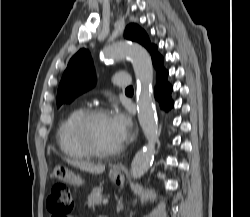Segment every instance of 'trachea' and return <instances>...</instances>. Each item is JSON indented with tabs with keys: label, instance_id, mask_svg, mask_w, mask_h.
I'll use <instances>...</instances> for the list:
<instances>
[{
	"label": "trachea",
	"instance_id": "trachea-1",
	"mask_svg": "<svg viewBox=\"0 0 250 217\" xmlns=\"http://www.w3.org/2000/svg\"><path fill=\"white\" fill-rule=\"evenodd\" d=\"M131 90H133L132 86H129V87L126 88V91H131Z\"/></svg>",
	"mask_w": 250,
	"mask_h": 217
}]
</instances>
